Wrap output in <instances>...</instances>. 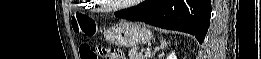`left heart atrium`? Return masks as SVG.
<instances>
[{"instance_id": "left-heart-atrium-1", "label": "left heart atrium", "mask_w": 261, "mask_h": 59, "mask_svg": "<svg viewBox=\"0 0 261 59\" xmlns=\"http://www.w3.org/2000/svg\"><path fill=\"white\" fill-rule=\"evenodd\" d=\"M128 2L134 3V2H139V0L128 1Z\"/></svg>"}]
</instances>
